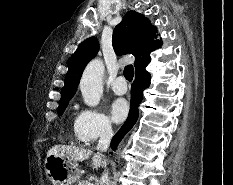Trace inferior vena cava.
<instances>
[{
  "mask_svg": "<svg viewBox=\"0 0 233 185\" xmlns=\"http://www.w3.org/2000/svg\"><path fill=\"white\" fill-rule=\"evenodd\" d=\"M112 136H113V131L111 125L105 124L100 134L97 150L100 152L107 151ZM99 185H109L108 171L105 170V172L101 176Z\"/></svg>",
  "mask_w": 233,
  "mask_h": 185,
  "instance_id": "1",
  "label": "inferior vena cava"
}]
</instances>
